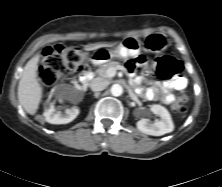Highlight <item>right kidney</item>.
Instances as JSON below:
<instances>
[{"mask_svg":"<svg viewBox=\"0 0 222 187\" xmlns=\"http://www.w3.org/2000/svg\"><path fill=\"white\" fill-rule=\"evenodd\" d=\"M78 114L79 109L77 107H72L62 112L56 111L54 103H50L48 109L44 112V117L51 124H67L73 121Z\"/></svg>","mask_w":222,"mask_h":187,"instance_id":"obj_1","label":"right kidney"}]
</instances>
